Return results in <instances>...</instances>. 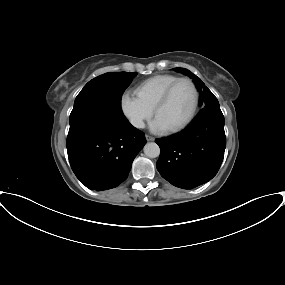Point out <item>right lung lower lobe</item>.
Returning a JSON list of instances; mask_svg holds the SVG:
<instances>
[{
    "mask_svg": "<svg viewBox=\"0 0 285 285\" xmlns=\"http://www.w3.org/2000/svg\"><path fill=\"white\" fill-rule=\"evenodd\" d=\"M146 144L144 133L126 118L90 113L70 123L68 158L76 177L89 189L117 187Z\"/></svg>",
    "mask_w": 285,
    "mask_h": 285,
    "instance_id": "right-lung-lower-lobe-1",
    "label": "right lung lower lobe"
}]
</instances>
